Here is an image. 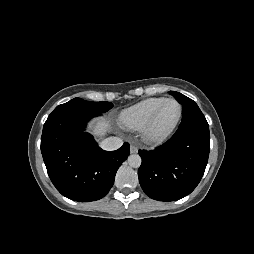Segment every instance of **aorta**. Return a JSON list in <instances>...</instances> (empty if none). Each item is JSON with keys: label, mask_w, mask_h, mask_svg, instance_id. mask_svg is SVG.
<instances>
[{"label": "aorta", "mask_w": 254, "mask_h": 254, "mask_svg": "<svg viewBox=\"0 0 254 254\" xmlns=\"http://www.w3.org/2000/svg\"><path fill=\"white\" fill-rule=\"evenodd\" d=\"M141 162V157L138 154H132L128 157V164L133 168H139Z\"/></svg>", "instance_id": "aorta-1"}]
</instances>
